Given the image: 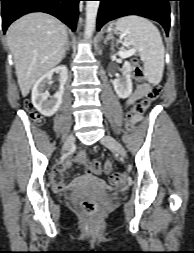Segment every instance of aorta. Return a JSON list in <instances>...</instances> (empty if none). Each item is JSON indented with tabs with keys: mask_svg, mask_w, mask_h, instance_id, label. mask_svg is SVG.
<instances>
[{
	"mask_svg": "<svg viewBox=\"0 0 194 253\" xmlns=\"http://www.w3.org/2000/svg\"><path fill=\"white\" fill-rule=\"evenodd\" d=\"M99 4V1H86V24L84 32L86 39H90L93 35Z\"/></svg>",
	"mask_w": 194,
	"mask_h": 253,
	"instance_id": "obj_1",
	"label": "aorta"
}]
</instances>
